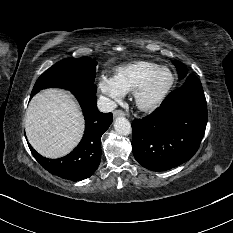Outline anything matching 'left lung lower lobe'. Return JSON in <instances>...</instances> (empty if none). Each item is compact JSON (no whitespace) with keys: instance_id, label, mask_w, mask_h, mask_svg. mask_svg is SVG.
I'll return each instance as SVG.
<instances>
[{"instance_id":"0a47b994","label":"left lung lower lobe","mask_w":233,"mask_h":233,"mask_svg":"<svg viewBox=\"0 0 233 233\" xmlns=\"http://www.w3.org/2000/svg\"><path fill=\"white\" fill-rule=\"evenodd\" d=\"M207 119L201 82L190 75L156 111L132 122L135 159L144 168L158 172L179 166L198 150Z\"/></svg>"}]
</instances>
